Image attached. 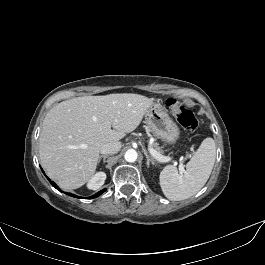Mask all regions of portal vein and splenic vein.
Listing matches in <instances>:
<instances>
[{
  "label": "portal vein and splenic vein",
  "instance_id": "obj_1",
  "mask_svg": "<svg viewBox=\"0 0 265 265\" xmlns=\"http://www.w3.org/2000/svg\"><path fill=\"white\" fill-rule=\"evenodd\" d=\"M149 153L155 158L157 159L158 161L160 162H169L171 160V157H167V156H163L161 155L159 152H157L155 149H153L152 147H149ZM179 170L181 173H184L185 172V169H184V165L183 163H179Z\"/></svg>",
  "mask_w": 265,
  "mask_h": 265
}]
</instances>
